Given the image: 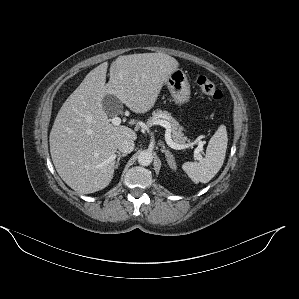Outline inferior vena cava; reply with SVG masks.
I'll return each instance as SVG.
<instances>
[{
    "instance_id": "1",
    "label": "inferior vena cava",
    "mask_w": 299,
    "mask_h": 299,
    "mask_svg": "<svg viewBox=\"0 0 299 299\" xmlns=\"http://www.w3.org/2000/svg\"><path fill=\"white\" fill-rule=\"evenodd\" d=\"M134 141L130 138H122L118 142L117 148L120 152L128 154L134 150Z\"/></svg>"
}]
</instances>
